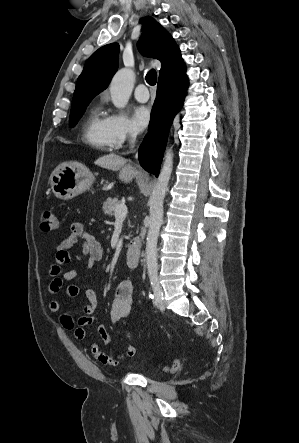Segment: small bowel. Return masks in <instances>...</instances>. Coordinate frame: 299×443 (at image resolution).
<instances>
[{
    "label": "small bowel",
    "mask_w": 299,
    "mask_h": 443,
    "mask_svg": "<svg viewBox=\"0 0 299 443\" xmlns=\"http://www.w3.org/2000/svg\"><path fill=\"white\" fill-rule=\"evenodd\" d=\"M81 243V251L75 257L77 260L87 258V268L94 270L97 263L104 255L103 244L92 234L85 231L84 226L80 222H75L71 225L69 235L64 238L57 246L55 253V261L49 269V275L52 278L48 292L50 295H57L62 287L72 280H75L79 273L76 269L67 271L62 270V265L69 263L72 259L70 249L75 245ZM83 293L87 299V304L82 308V315L75 319L70 310L61 312L62 301L51 300L49 303V310L54 314H59V320L62 327L68 331H72L75 339L84 341L87 337L85 327L96 324L97 333L103 345H108L111 341V336L104 325L98 322L93 315L95 307L97 306V294L93 289L81 288L76 284H71L67 287L64 296L76 297ZM134 286L130 278L121 280L115 289V296L109 308V316L113 323H125L130 316L133 304ZM89 352L94 358L102 364L117 366L124 360H129L135 355V347L129 345L123 353L112 356L103 352L100 346L96 343L89 345Z\"/></svg>",
    "instance_id": "obj_1"
}]
</instances>
